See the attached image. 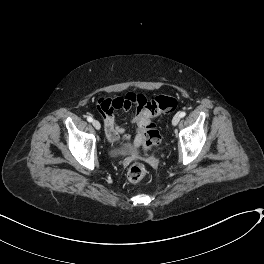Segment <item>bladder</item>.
Instances as JSON below:
<instances>
[{
	"label": "bladder",
	"instance_id": "obj_1",
	"mask_svg": "<svg viewBox=\"0 0 264 264\" xmlns=\"http://www.w3.org/2000/svg\"><path fill=\"white\" fill-rule=\"evenodd\" d=\"M120 153L125 156H131V155L138 154L139 150L138 148L132 145H127L126 147L123 148V150ZM112 155H117V152H113Z\"/></svg>",
	"mask_w": 264,
	"mask_h": 264
}]
</instances>
